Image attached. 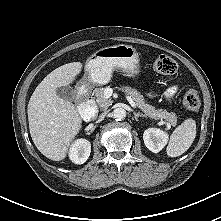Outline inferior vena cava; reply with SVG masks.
Masks as SVG:
<instances>
[{
    "instance_id": "602c4592",
    "label": "inferior vena cava",
    "mask_w": 221,
    "mask_h": 221,
    "mask_svg": "<svg viewBox=\"0 0 221 221\" xmlns=\"http://www.w3.org/2000/svg\"><path fill=\"white\" fill-rule=\"evenodd\" d=\"M106 116V113H102L100 116H99V119L98 121H102Z\"/></svg>"
}]
</instances>
